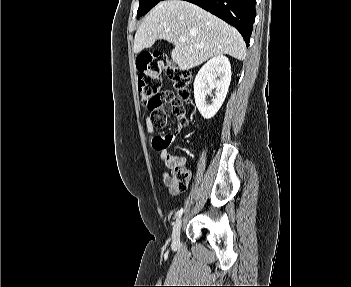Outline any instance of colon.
Wrapping results in <instances>:
<instances>
[{
	"label": "colon",
	"instance_id": "colon-1",
	"mask_svg": "<svg viewBox=\"0 0 351 287\" xmlns=\"http://www.w3.org/2000/svg\"><path fill=\"white\" fill-rule=\"evenodd\" d=\"M137 89L143 104L152 112L151 122L154 129L166 126L167 113L164 109L170 103L173 112L178 116L182 125L187 124L184 103L190 98L192 73L171 61L165 54L154 52L144 53L137 59ZM165 74L177 90V95L167 91L160 93L161 77ZM160 136V135H158ZM176 188L179 191L187 189L190 182V172L179 165H174Z\"/></svg>",
	"mask_w": 351,
	"mask_h": 287
}]
</instances>
